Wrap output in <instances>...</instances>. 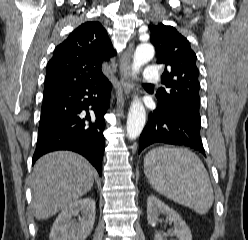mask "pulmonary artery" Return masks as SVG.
Returning a JSON list of instances; mask_svg holds the SVG:
<instances>
[{
	"mask_svg": "<svg viewBox=\"0 0 248 240\" xmlns=\"http://www.w3.org/2000/svg\"><path fill=\"white\" fill-rule=\"evenodd\" d=\"M143 79L148 83H156L160 80V71L154 66H149L143 73Z\"/></svg>",
	"mask_w": 248,
	"mask_h": 240,
	"instance_id": "1",
	"label": "pulmonary artery"
}]
</instances>
